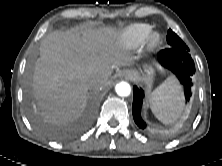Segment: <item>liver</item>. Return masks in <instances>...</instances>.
Here are the masks:
<instances>
[{
	"mask_svg": "<svg viewBox=\"0 0 222 166\" xmlns=\"http://www.w3.org/2000/svg\"><path fill=\"white\" fill-rule=\"evenodd\" d=\"M117 30L72 29L47 35L40 45L33 90L43 118L63 124L83 110L88 91H98L93 81L108 85L113 69L133 58L117 48Z\"/></svg>",
	"mask_w": 222,
	"mask_h": 166,
	"instance_id": "obj_1",
	"label": "liver"
}]
</instances>
